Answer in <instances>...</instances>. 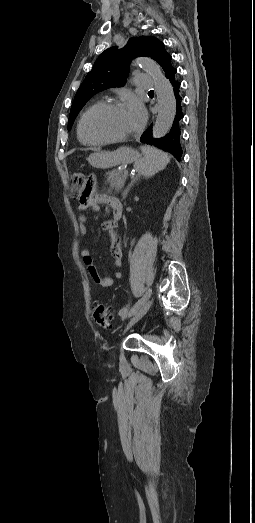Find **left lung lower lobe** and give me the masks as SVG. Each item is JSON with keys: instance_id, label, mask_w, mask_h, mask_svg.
Masks as SVG:
<instances>
[{"instance_id": "0a47b994", "label": "left lung lower lobe", "mask_w": 255, "mask_h": 523, "mask_svg": "<svg viewBox=\"0 0 255 523\" xmlns=\"http://www.w3.org/2000/svg\"><path fill=\"white\" fill-rule=\"evenodd\" d=\"M168 81L172 83V97H175L176 102H174L175 109V118L172 120V128L166 130V137H154L152 133V125H149V128L145 129L139 140H141V145L148 146L150 149L154 147L157 149L163 148L164 153L173 154L174 160L181 162L183 157L181 156L182 144L180 143V137L182 130L180 129L179 121L183 119L184 111L181 109L183 103V97L180 95L181 91V81L176 76H170Z\"/></svg>"}]
</instances>
